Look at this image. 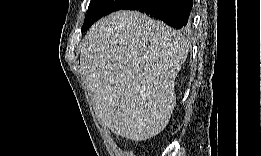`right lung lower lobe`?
I'll return each mask as SVG.
<instances>
[{
    "label": "right lung lower lobe",
    "instance_id": "1",
    "mask_svg": "<svg viewBox=\"0 0 261 156\" xmlns=\"http://www.w3.org/2000/svg\"><path fill=\"white\" fill-rule=\"evenodd\" d=\"M193 0H130L122 10H137L163 20L176 29H186L190 24Z\"/></svg>",
    "mask_w": 261,
    "mask_h": 156
}]
</instances>
